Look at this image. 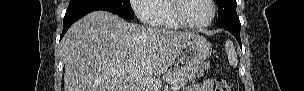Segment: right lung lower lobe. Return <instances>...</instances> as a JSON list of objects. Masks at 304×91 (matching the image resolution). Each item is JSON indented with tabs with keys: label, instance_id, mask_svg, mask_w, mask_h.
<instances>
[{
	"label": "right lung lower lobe",
	"instance_id": "obj_1",
	"mask_svg": "<svg viewBox=\"0 0 304 91\" xmlns=\"http://www.w3.org/2000/svg\"><path fill=\"white\" fill-rule=\"evenodd\" d=\"M96 10H104L116 14L115 10L109 3L100 0H75L70 2L64 16L63 31L60 39L74 22L86 14Z\"/></svg>",
	"mask_w": 304,
	"mask_h": 91
}]
</instances>
